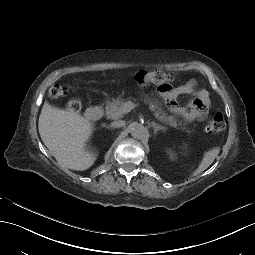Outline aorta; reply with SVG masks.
<instances>
[{"label": "aorta", "mask_w": 255, "mask_h": 255, "mask_svg": "<svg viewBox=\"0 0 255 255\" xmlns=\"http://www.w3.org/2000/svg\"><path fill=\"white\" fill-rule=\"evenodd\" d=\"M130 133L133 138L141 139L146 135L147 129L142 124L135 123L132 125Z\"/></svg>", "instance_id": "obj_1"}]
</instances>
